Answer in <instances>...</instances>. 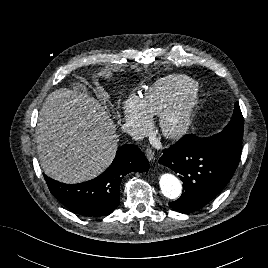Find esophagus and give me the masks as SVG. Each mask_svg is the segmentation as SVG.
Segmentation results:
<instances>
[{
    "mask_svg": "<svg viewBox=\"0 0 268 268\" xmlns=\"http://www.w3.org/2000/svg\"><path fill=\"white\" fill-rule=\"evenodd\" d=\"M145 153L148 161L152 162L154 160V151L151 148H147Z\"/></svg>",
    "mask_w": 268,
    "mask_h": 268,
    "instance_id": "obj_1",
    "label": "esophagus"
}]
</instances>
